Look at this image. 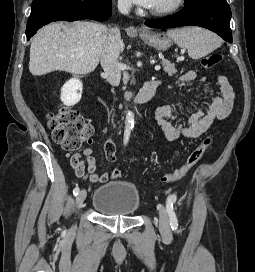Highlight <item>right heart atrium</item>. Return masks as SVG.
I'll list each match as a JSON object with an SVG mask.
<instances>
[{"label":"right heart atrium","mask_w":255,"mask_h":272,"mask_svg":"<svg viewBox=\"0 0 255 272\" xmlns=\"http://www.w3.org/2000/svg\"><path fill=\"white\" fill-rule=\"evenodd\" d=\"M118 6L121 10H128L130 8L128 0H118Z\"/></svg>","instance_id":"1"}]
</instances>
